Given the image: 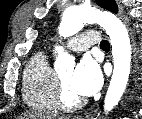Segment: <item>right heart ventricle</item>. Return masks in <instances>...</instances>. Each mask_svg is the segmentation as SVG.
Masks as SVG:
<instances>
[{"instance_id":"e07e8e85","label":"right heart ventricle","mask_w":142,"mask_h":119,"mask_svg":"<svg viewBox=\"0 0 142 119\" xmlns=\"http://www.w3.org/2000/svg\"><path fill=\"white\" fill-rule=\"evenodd\" d=\"M56 74L48 56L39 52L27 63L23 72L22 94L26 104L37 110L51 111L55 102Z\"/></svg>"}]
</instances>
